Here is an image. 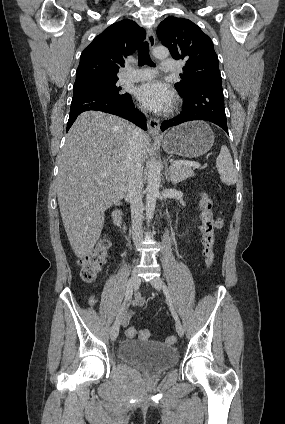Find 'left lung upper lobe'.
Segmentation results:
<instances>
[{
  "mask_svg": "<svg viewBox=\"0 0 285 424\" xmlns=\"http://www.w3.org/2000/svg\"><path fill=\"white\" fill-rule=\"evenodd\" d=\"M157 34L174 59L186 60L182 80L175 84L180 94L202 83H222L213 42L196 24L184 18L167 17L159 24Z\"/></svg>",
  "mask_w": 285,
  "mask_h": 424,
  "instance_id": "1",
  "label": "left lung upper lobe"
}]
</instances>
